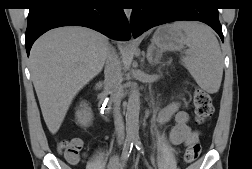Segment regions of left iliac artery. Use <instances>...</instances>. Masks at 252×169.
<instances>
[{
	"label": "left iliac artery",
	"mask_w": 252,
	"mask_h": 169,
	"mask_svg": "<svg viewBox=\"0 0 252 169\" xmlns=\"http://www.w3.org/2000/svg\"><path fill=\"white\" fill-rule=\"evenodd\" d=\"M134 144H135L137 150H139L143 153V145H142L140 139H138V138L134 139Z\"/></svg>",
	"instance_id": "left-iliac-artery-1"
}]
</instances>
